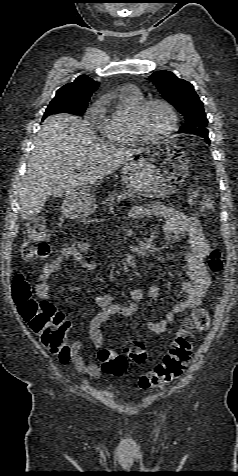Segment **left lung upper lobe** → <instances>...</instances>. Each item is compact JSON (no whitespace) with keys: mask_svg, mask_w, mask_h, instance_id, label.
Returning <instances> with one entry per match:
<instances>
[{"mask_svg":"<svg viewBox=\"0 0 238 476\" xmlns=\"http://www.w3.org/2000/svg\"><path fill=\"white\" fill-rule=\"evenodd\" d=\"M150 78L161 96L184 116L186 123L180 127L179 132L208 136L206 129L208 120L203 102L196 94L193 85L166 70L154 72Z\"/></svg>","mask_w":238,"mask_h":476,"instance_id":"obj_1","label":"left lung upper lobe"}]
</instances>
